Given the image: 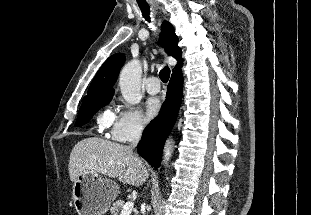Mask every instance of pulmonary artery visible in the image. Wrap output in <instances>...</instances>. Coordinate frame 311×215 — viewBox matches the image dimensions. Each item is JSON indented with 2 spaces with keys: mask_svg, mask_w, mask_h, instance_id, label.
<instances>
[{
  "mask_svg": "<svg viewBox=\"0 0 311 215\" xmlns=\"http://www.w3.org/2000/svg\"><path fill=\"white\" fill-rule=\"evenodd\" d=\"M145 88L149 94H157L160 91V83L157 77L151 76L147 79Z\"/></svg>",
  "mask_w": 311,
  "mask_h": 215,
  "instance_id": "obj_1",
  "label": "pulmonary artery"
}]
</instances>
